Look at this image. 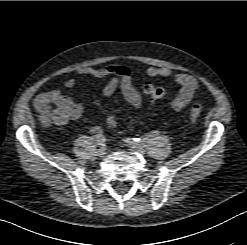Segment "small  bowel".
Masks as SVG:
<instances>
[{
	"label": "small bowel",
	"instance_id": "1",
	"mask_svg": "<svg viewBox=\"0 0 247 245\" xmlns=\"http://www.w3.org/2000/svg\"><path fill=\"white\" fill-rule=\"evenodd\" d=\"M79 75H88L95 78H108V80L99 86V92L105 96H112L117 89H120L126 101L133 107L135 113H140L143 106V98L141 93L132 82L131 70L124 65H106L99 68L81 67L77 70ZM145 74L149 77L172 78L175 83L181 86L179 93L172 100V107L176 111L185 109L196 96L199 89L198 80L187 73H174L172 69L167 67H147ZM74 78H69L64 82L66 88H73L76 85ZM63 95L71 104V112L68 120L79 119L84 112L82 104L73 101L69 96L64 95L59 90L52 91ZM49 93V92H48ZM47 93L40 94L35 100V104L39 99ZM89 131L93 134H101L102 128L97 125L89 127Z\"/></svg>",
	"mask_w": 247,
	"mask_h": 245
}]
</instances>
